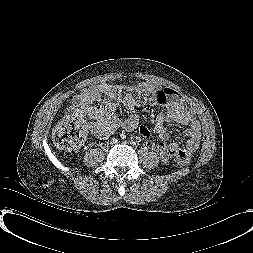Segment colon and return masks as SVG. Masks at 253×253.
I'll return each mask as SVG.
<instances>
[{"label":"colon","instance_id":"colon-1","mask_svg":"<svg viewBox=\"0 0 253 253\" xmlns=\"http://www.w3.org/2000/svg\"><path fill=\"white\" fill-rule=\"evenodd\" d=\"M113 92L116 95H121L136 102H143L145 100L144 93L136 87L113 88ZM85 136L86 127L84 121L75 114H68L56 126L53 141L59 149L72 151L84 142ZM174 153L178 164L181 166L189 164L191 155L187 149L177 148Z\"/></svg>","mask_w":253,"mask_h":253}]
</instances>
